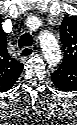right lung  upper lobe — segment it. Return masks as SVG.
I'll use <instances>...</instances> for the list:
<instances>
[{"mask_svg":"<svg viewBox=\"0 0 77 125\" xmlns=\"http://www.w3.org/2000/svg\"><path fill=\"white\" fill-rule=\"evenodd\" d=\"M23 70V64L7 51L5 32L0 33V84L2 91L12 88Z\"/></svg>","mask_w":77,"mask_h":125,"instance_id":"right-lung-upper-lobe-1","label":"right lung upper lobe"}]
</instances>
